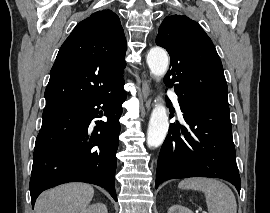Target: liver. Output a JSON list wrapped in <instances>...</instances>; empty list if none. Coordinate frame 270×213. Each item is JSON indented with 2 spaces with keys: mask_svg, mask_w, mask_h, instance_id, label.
Wrapping results in <instances>:
<instances>
[{
  "mask_svg": "<svg viewBox=\"0 0 270 213\" xmlns=\"http://www.w3.org/2000/svg\"><path fill=\"white\" fill-rule=\"evenodd\" d=\"M94 196L92 186L70 183L42 193L35 203V213H79Z\"/></svg>",
  "mask_w": 270,
  "mask_h": 213,
  "instance_id": "6515ba94",
  "label": "liver"
}]
</instances>
